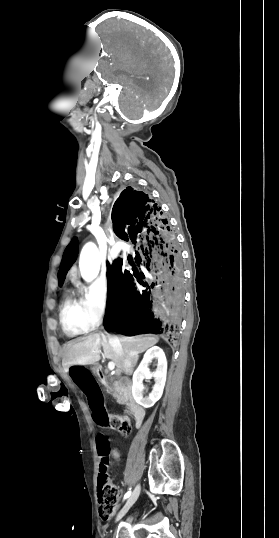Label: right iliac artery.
Listing matches in <instances>:
<instances>
[{
  "mask_svg": "<svg viewBox=\"0 0 279 538\" xmlns=\"http://www.w3.org/2000/svg\"><path fill=\"white\" fill-rule=\"evenodd\" d=\"M131 495V489L124 495V500Z\"/></svg>",
  "mask_w": 279,
  "mask_h": 538,
  "instance_id": "right-iliac-artery-1",
  "label": "right iliac artery"
}]
</instances>
